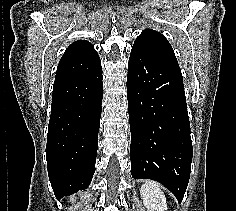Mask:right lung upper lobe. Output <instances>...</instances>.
Returning a JSON list of instances; mask_svg holds the SVG:
<instances>
[{
	"label": "right lung upper lobe",
	"mask_w": 236,
	"mask_h": 211,
	"mask_svg": "<svg viewBox=\"0 0 236 211\" xmlns=\"http://www.w3.org/2000/svg\"><path fill=\"white\" fill-rule=\"evenodd\" d=\"M100 68L101 61L94 46L86 40H79L64 52L54 83L90 75Z\"/></svg>",
	"instance_id": "cb5924a9"
}]
</instances>
